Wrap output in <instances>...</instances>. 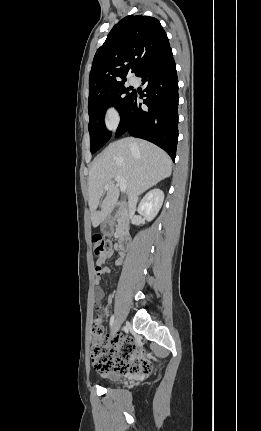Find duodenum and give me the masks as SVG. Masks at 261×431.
<instances>
[{"label": "duodenum", "instance_id": "duodenum-1", "mask_svg": "<svg viewBox=\"0 0 261 431\" xmlns=\"http://www.w3.org/2000/svg\"><path fill=\"white\" fill-rule=\"evenodd\" d=\"M111 225H112V220L108 219L105 224L106 230H110ZM129 247H130V236L126 230H123L119 234L120 255L124 256V253L129 249Z\"/></svg>", "mask_w": 261, "mask_h": 431}]
</instances>
